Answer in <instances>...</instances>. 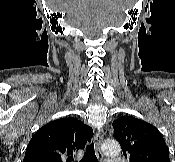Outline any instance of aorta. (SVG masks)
Returning <instances> with one entry per match:
<instances>
[{
	"mask_svg": "<svg viewBox=\"0 0 175 162\" xmlns=\"http://www.w3.org/2000/svg\"><path fill=\"white\" fill-rule=\"evenodd\" d=\"M102 152L107 156H117L120 153V145L115 140H105L101 146Z\"/></svg>",
	"mask_w": 175,
	"mask_h": 162,
	"instance_id": "obj_1",
	"label": "aorta"
}]
</instances>
